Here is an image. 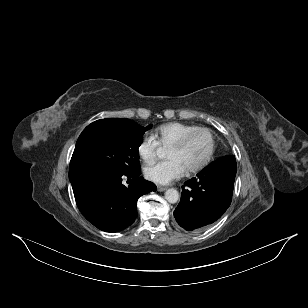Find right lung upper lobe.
<instances>
[{
  "label": "right lung upper lobe",
  "mask_w": 308,
  "mask_h": 308,
  "mask_svg": "<svg viewBox=\"0 0 308 308\" xmlns=\"http://www.w3.org/2000/svg\"><path fill=\"white\" fill-rule=\"evenodd\" d=\"M132 121L129 119H116V118H107V119H101L97 120L90 125H88L86 128H92L96 126H101V125H129ZM72 179V177L70 178Z\"/></svg>",
  "instance_id": "1"
}]
</instances>
